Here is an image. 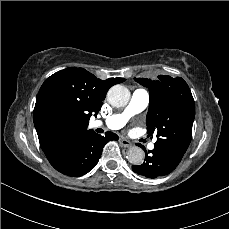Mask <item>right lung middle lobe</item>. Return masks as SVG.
Here are the masks:
<instances>
[{
  "mask_svg": "<svg viewBox=\"0 0 229 229\" xmlns=\"http://www.w3.org/2000/svg\"><path fill=\"white\" fill-rule=\"evenodd\" d=\"M67 116H68V113L65 112V111H60V112L57 113V117H58L59 119L66 118Z\"/></svg>",
  "mask_w": 229,
  "mask_h": 229,
  "instance_id": "dd1d6c3e",
  "label": "right lung middle lobe"
}]
</instances>
